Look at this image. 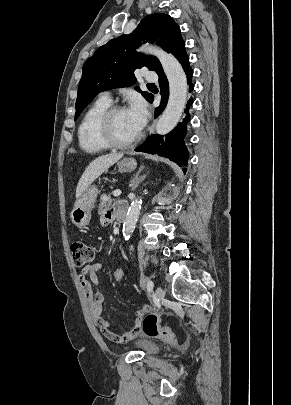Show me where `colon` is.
<instances>
[{
    "label": "colon",
    "instance_id": "colon-1",
    "mask_svg": "<svg viewBox=\"0 0 291 405\" xmlns=\"http://www.w3.org/2000/svg\"><path fill=\"white\" fill-rule=\"evenodd\" d=\"M72 261L75 267H83L91 263L94 259V249L87 243L77 240L71 244ZM112 278L119 283L124 279V272L117 268L112 272ZM143 332L153 338L161 339L170 344L177 343V338L173 331L166 326H161L160 316L156 313L147 314L141 322Z\"/></svg>",
    "mask_w": 291,
    "mask_h": 405
}]
</instances>
